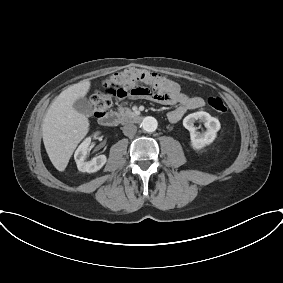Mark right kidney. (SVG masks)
<instances>
[{"label": "right kidney", "mask_w": 283, "mask_h": 283, "mask_svg": "<svg viewBox=\"0 0 283 283\" xmlns=\"http://www.w3.org/2000/svg\"><path fill=\"white\" fill-rule=\"evenodd\" d=\"M98 133L94 135V138ZM91 143V137L86 138L77 148L74 154V159L77 164V168L81 172L94 173L100 170L105 163L107 162V158L105 155H99L94 157L90 161H86L87 153L89 151V146Z\"/></svg>", "instance_id": "1"}]
</instances>
